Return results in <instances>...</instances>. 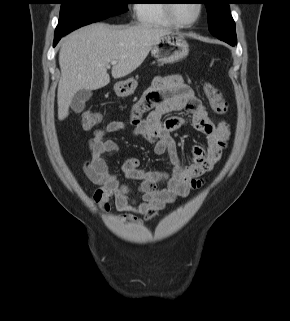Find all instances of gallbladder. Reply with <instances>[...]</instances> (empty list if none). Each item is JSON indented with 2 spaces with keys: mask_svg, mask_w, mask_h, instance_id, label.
Instances as JSON below:
<instances>
[{
  "mask_svg": "<svg viewBox=\"0 0 290 321\" xmlns=\"http://www.w3.org/2000/svg\"><path fill=\"white\" fill-rule=\"evenodd\" d=\"M91 90H79L73 97L71 108L76 113H81L85 107V103L91 98Z\"/></svg>",
  "mask_w": 290,
  "mask_h": 321,
  "instance_id": "gallbladder-1",
  "label": "gallbladder"
}]
</instances>
